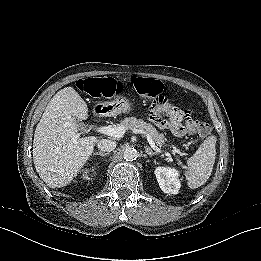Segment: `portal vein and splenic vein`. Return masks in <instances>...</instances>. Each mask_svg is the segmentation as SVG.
Returning <instances> with one entry per match:
<instances>
[{
  "mask_svg": "<svg viewBox=\"0 0 261 261\" xmlns=\"http://www.w3.org/2000/svg\"><path fill=\"white\" fill-rule=\"evenodd\" d=\"M98 132L102 133V134H106L108 136H112V137H117V138H120L124 135V133L126 132V129L125 127H112V126H102V127H99L97 129ZM133 131L135 133H140V134H144L150 144V146L157 152H161V149H159L151 135L149 133H147L146 131H144L143 129H136L134 128ZM168 154V153H167Z\"/></svg>",
  "mask_w": 261,
  "mask_h": 261,
  "instance_id": "obj_1",
  "label": "portal vein and splenic vein"
}]
</instances>
